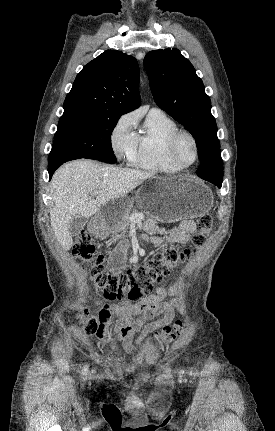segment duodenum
Returning a JSON list of instances; mask_svg holds the SVG:
<instances>
[{"mask_svg": "<svg viewBox=\"0 0 275 431\" xmlns=\"http://www.w3.org/2000/svg\"><path fill=\"white\" fill-rule=\"evenodd\" d=\"M92 230L94 234L100 235L101 233L100 223H96L95 225H93Z\"/></svg>", "mask_w": 275, "mask_h": 431, "instance_id": "410a0bca", "label": "duodenum"}]
</instances>
